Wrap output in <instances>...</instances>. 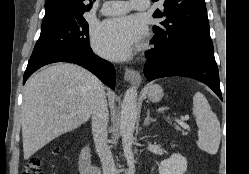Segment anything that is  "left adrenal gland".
I'll return each instance as SVG.
<instances>
[{
	"mask_svg": "<svg viewBox=\"0 0 249 174\" xmlns=\"http://www.w3.org/2000/svg\"><path fill=\"white\" fill-rule=\"evenodd\" d=\"M155 121H156V119H153V118L150 117V110L148 109L147 110V117H146V119L144 121V125L148 126L150 123L155 122Z\"/></svg>",
	"mask_w": 249,
	"mask_h": 174,
	"instance_id": "left-adrenal-gland-1",
	"label": "left adrenal gland"
}]
</instances>
